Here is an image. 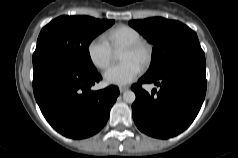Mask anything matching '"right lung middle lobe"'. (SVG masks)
Instances as JSON below:
<instances>
[{"label": "right lung middle lobe", "instance_id": "right-lung-middle-lobe-1", "mask_svg": "<svg viewBox=\"0 0 238 158\" xmlns=\"http://www.w3.org/2000/svg\"><path fill=\"white\" fill-rule=\"evenodd\" d=\"M114 23L89 16H61L40 32L33 60L54 55L85 71H95L90 55L91 41Z\"/></svg>", "mask_w": 238, "mask_h": 158}]
</instances>
